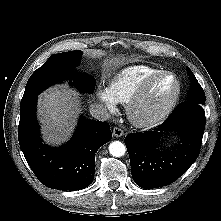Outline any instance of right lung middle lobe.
I'll return each mask as SVG.
<instances>
[{"label":"right lung middle lobe","instance_id":"dd1d6c3e","mask_svg":"<svg viewBox=\"0 0 221 221\" xmlns=\"http://www.w3.org/2000/svg\"><path fill=\"white\" fill-rule=\"evenodd\" d=\"M81 55V51H71L50 56L45 64L30 76L20 107L36 98L48 86L64 80H69V83L81 92H92L95 88L94 78L74 71L80 63Z\"/></svg>","mask_w":221,"mask_h":221}]
</instances>
